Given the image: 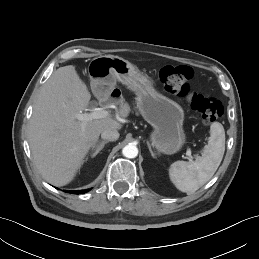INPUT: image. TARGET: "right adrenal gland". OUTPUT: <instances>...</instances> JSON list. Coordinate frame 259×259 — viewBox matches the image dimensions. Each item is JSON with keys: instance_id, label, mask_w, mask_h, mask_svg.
<instances>
[{"instance_id": "2a0ac1e0", "label": "right adrenal gland", "mask_w": 259, "mask_h": 259, "mask_svg": "<svg viewBox=\"0 0 259 259\" xmlns=\"http://www.w3.org/2000/svg\"><path fill=\"white\" fill-rule=\"evenodd\" d=\"M108 141H101L98 144H95L92 149H91V154L90 156L92 158H94L105 146V144H107Z\"/></svg>"}]
</instances>
